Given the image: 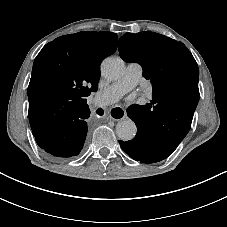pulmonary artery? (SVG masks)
<instances>
[{
	"instance_id": "1",
	"label": "pulmonary artery",
	"mask_w": 227,
	"mask_h": 227,
	"mask_svg": "<svg viewBox=\"0 0 227 227\" xmlns=\"http://www.w3.org/2000/svg\"><path fill=\"white\" fill-rule=\"evenodd\" d=\"M143 69L138 63H129L122 77L115 83L99 90L94 98L95 107H105L118 102L126 93L136 87L143 91L146 97H150L153 84L149 80L142 78Z\"/></svg>"
}]
</instances>
